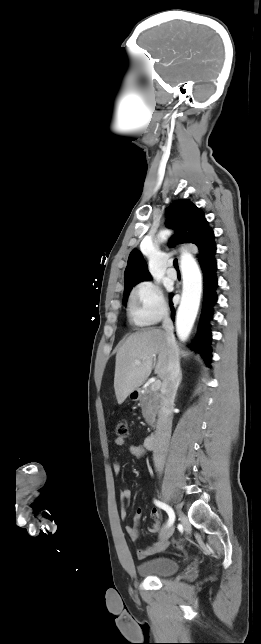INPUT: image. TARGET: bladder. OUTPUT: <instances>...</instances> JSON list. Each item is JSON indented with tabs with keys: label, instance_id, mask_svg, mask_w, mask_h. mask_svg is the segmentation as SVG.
<instances>
[{
	"label": "bladder",
	"instance_id": "1",
	"mask_svg": "<svg viewBox=\"0 0 261 644\" xmlns=\"http://www.w3.org/2000/svg\"><path fill=\"white\" fill-rule=\"evenodd\" d=\"M136 568L142 576L165 577L175 574L179 569V564L173 558L155 557L139 563Z\"/></svg>",
	"mask_w": 261,
	"mask_h": 644
}]
</instances>
